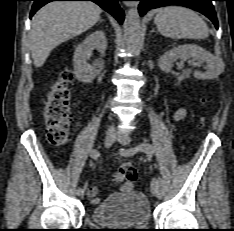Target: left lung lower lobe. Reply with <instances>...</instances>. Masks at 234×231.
<instances>
[{
	"label": "left lung lower lobe",
	"instance_id": "obj_1",
	"mask_svg": "<svg viewBox=\"0 0 234 231\" xmlns=\"http://www.w3.org/2000/svg\"><path fill=\"white\" fill-rule=\"evenodd\" d=\"M141 1L139 5L140 15L143 16L148 10L167 5H181L194 9L205 16H207L218 29V21L214 7L213 0H138Z\"/></svg>",
	"mask_w": 234,
	"mask_h": 231
}]
</instances>
